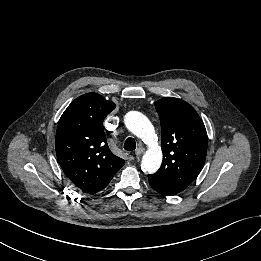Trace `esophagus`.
<instances>
[{
  "label": "esophagus",
  "mask_w": 261,
  "mask_h": 261,
  "mask_svg": "<svg viewBox=\"0 0 261 261\" xmlns=\"http://www.w3.org/2000/svg\"><path fill=\"white\" fill-rule=\"evenodd\" d=\"M142 153H144V149L142 147H139L135 150V155L136 156H139L141 155Z\"/></svg>",
  "instance_id": "esophagus-1"
}]
</instances>
